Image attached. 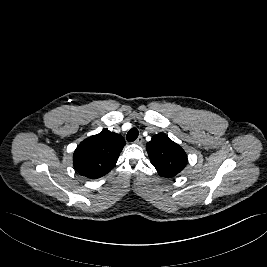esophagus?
I'll return each mask as SVG.
<instances>
[{
  "label": "esophagus",
  "mask_w": 267,
  "mask_h": 267,
  "mask_svg": "<svg viewBox=\"0 0 267 267\" xmlns=\"http://www.w3.org/2000/svg\"><path fill=\"white\" fill-rule=\"evenodd\" d=\"M136 144H142L143 143V138L141 136H139L136 140H135Z\"/></svg>",
  "instance_id": "obj_1"
}]
</instances>
